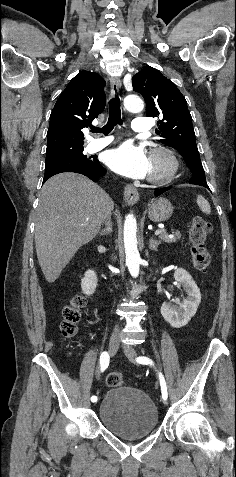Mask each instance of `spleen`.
I'll list each match as a JSON object with an SVG mask.
<instances>
[{
	"label": "spleen",
	"mask_w": 236,
	"mask_h": 477,
	"mask_svg": "<svg viewBox=\"0 0 236 477\" xmlns=\"http://www.w3.org/2000/svg\"><path fill=\"white\" fill-rule=\"evenodd\" d=\"M197 204L202 212L210 214L211 208L209 202L201 195L197 196Z\"/></svg>",
	"instance_id": "spleen-1"
}]
</instances>
